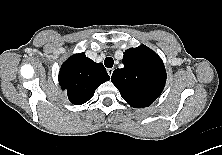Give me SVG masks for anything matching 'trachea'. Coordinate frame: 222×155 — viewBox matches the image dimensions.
I'll return each mask as SVG.
<instances>
[{
	"mask_svg": "<svg viewBox=\"0 0 222 155\" xmlns=\"http://www.w3.org/2000/svg\"><path fill=\"white\" fill-rule=\"evenodd\" d=\"M113 64H114V60H113L111 57H107V58L104 60V65H105L107 68L113 67Z\"/></svg>",
	"mask_w": 222,
	"mask_h": 155,
	"instance_id": "1",
	"label": "trachea"
}]
</instances>
